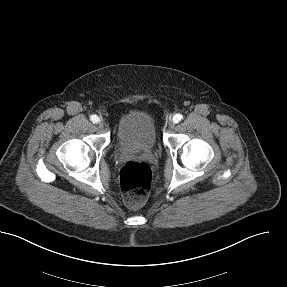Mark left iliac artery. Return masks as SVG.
<instances>
[{
    "instance_id": "44dca946",
    "label": "left iliac artery",
    "mask_w": 287,
    "mask_h": 287,
    "mask_svg": "<svg viewBox=\"0 0 287 287\" xmlns=\"http://www.w3.org/2000/svg\"><path fill=\"white\" fill-rule=\"evenodd\" d=\"M183 116L181 114H175L173 116V122L178 123L182 120Z\"/></svg>"
}]
</instances>
